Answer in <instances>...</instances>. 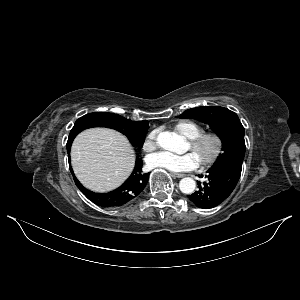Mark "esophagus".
<instances>
[{
	"mask_svg": "<svg viewBox=\"0 0 300 300\" xmlns=\"http://www.w3.org/2000/svg\"><path fill=\"white\" fill-rule=\"evenodd\" d=\"M172 175H173L174 177H177V178H182V177L185 176V175L182 174V173H172Z\"/></svg>",
	"mask_w": 300,
	"mask_h": 300,
	"instance_id": "obj_1",
	"label": "esophagus"
}]
</instances>
